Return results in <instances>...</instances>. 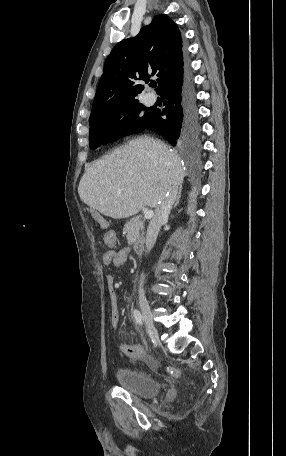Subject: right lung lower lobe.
<instances>
[{"label": "right lung lower lobe", "mask_w": 286, "mask_h": 456, "mask_svg": "<svg viewBox=\"0 0 286 456\" xmlns=\"http://www.w3.org/2000/svg\"><path fill=\"white\" fill-rule=\"evenodd\" d=\"M159 95L163 99V110H154L146 129L162 135L173 146L191 138L198 125L195 90L188 68L177 81L166 86ZM166 116V118H162Z\"/></svg>", "instance_id": "1"}]
</instances>
